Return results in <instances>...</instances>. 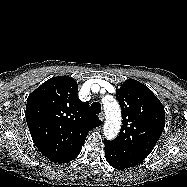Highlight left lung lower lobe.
Here are the masks:
<instances>
[{"label":"left lung lower lobe","instance_id":"1","mask_svg":"<svg viewBox=\"0 0 187 187\" xmlns=\"http://www.w3.org/2000/svg\"><path fill=\"white\" fill-rule=\"evenodd\" d=\"M105 144V158L107 162L116 169H126V168H131L133 166H136L138 162L131 160L110 146H108L106 143Z\"/></svg>","mask_w":187,"mask_h":187}]
</instances>
